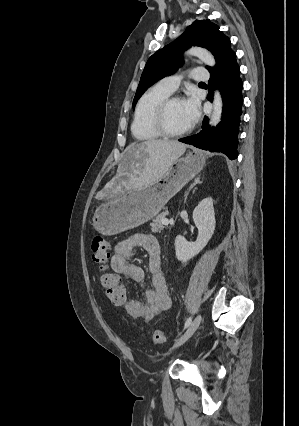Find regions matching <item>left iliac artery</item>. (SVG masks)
<instances>
[{
  "instance_id": "left-iliac-artery-1",
  "label": "left iliac artery",
  "mask_w": 299,
  "mask_h": 426,
  "mask_svg": "<svg viewBox=\"0 0 299 426\" xmlns=\"http://www.w3.org/2000/svg\"><path fill=\"white\" fill-rule=\"evenodd\" d=\"M191 321H192V318H191V317H189V318L186 320V322H185L184 329H186L187 327H189V325L191 324Z\"/></svg>"
}]
</instances>
